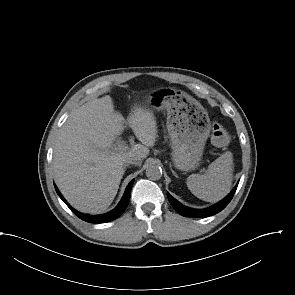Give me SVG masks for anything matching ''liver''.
<instances>
[{"label":"liver","instance_id":"liver-1","mask_svg":"<svg viewBox=\"0 0 295 295\" xmlns=\"http://www.w3.org/2000/svg\"><path fill=\"white\" fill-rule=\"evenodd\" d=\"M128 124L142 144L129 152H110L127 122L114 109L109 95L74 110L60 129L53 152L54 178L63 196L77 210L96 214L113 202L130 153L149 155L155 144L157 123L153 113L135 105Z\"/></svg>","mask_w":295,"mask_h":295}]
</instances>
